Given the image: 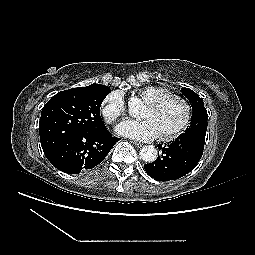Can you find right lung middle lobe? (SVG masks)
<instances>
[{
    "label": "right lung middle lobe",
    "instance_id": "1",
    "mask_svg": "<svg viewBox=\"0 0 255 255\" xmlns=\"http://www.w3.org/2000/svg\"><path fill=\"white\" fill-rule=\"evenodd\" d=\"M107 86H87L61 91L43 107L39 122L42 149L46 157L72 135L97 133L105 128L100 106L110 93Z\"/></svg>",
    "mask_w": 255,
    "mask_h": 255
}]
</instances>
